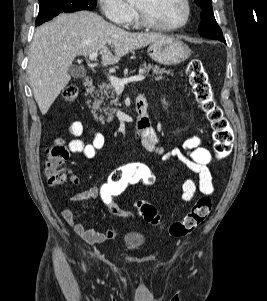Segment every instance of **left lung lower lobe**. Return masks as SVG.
<instances>
[{"label": "left lung lower lobe", "mask_w": 267, "mask_h": 301, "mask_svg": "<svg viewBox=\"0 0 267 301\" xmlns=\"http://www.w3.org/2000/svg\"><path fill=\"white\" fill-rule=\"evenodd\" d=\"M219 41L226 43L225 40H219Z\"/></svg>", "instance_id": "1"}]
</instances>
